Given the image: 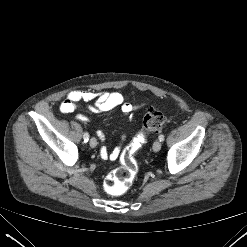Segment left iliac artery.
Instances as JSON below:
<instances>
[{
    "instance_id": "left-iliac-artery-1",
    "label": "left iliac artery",
    "mask_w": 247,
    "mask_h": 247,
    "mask_svg": "<svg viewBox=\"0 0 247 247\" xmlns=\"http://www.w3.org/2000/svg\"><path fill=\"white\" fill-rule=\"evenodd\" d=\"M159 140L162 142V141H164V135L163 134H161V135H159Z\"/></svg>"
}]
</instances>
